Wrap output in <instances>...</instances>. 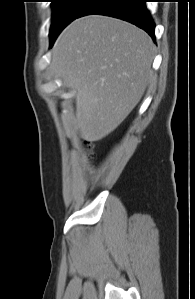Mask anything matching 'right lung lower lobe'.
<instances>
[{
  "label": "right lung lower lobe",
  "instance_id": "obj_1",
  "mask_svg": "<svg viewBox=\"0 0 195 299\" xmlns=\"http://www.w3.org/2000/svg\"><path fill=\"white\" fill-rule=\"evenodd\" d=\"M145 0H92L77 18L100 14L119 18L145 30L154 40L155 23Z\"/></svg>",
  "mask_w": 195,
  "mask_h": 299
}]
</instances>
